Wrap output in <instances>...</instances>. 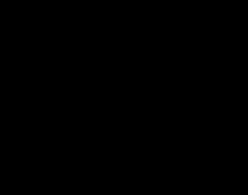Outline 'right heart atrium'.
Listing matches in <instances>:
<instances>
[{
  "label": "right heart atrium",
  "instance_id": "obj_1",
  "mask_svg": "<svg viewBox=\"0 0 248 195\" xmlns=\"http://www.w3.org/2000/svg\"><path fill=\"white\" fill-rule=\"evenodd\" d=\"M99 76L102 85H104L107 89H110L113 93H120L122 91L124 82L114 71L110 69H103Z\"/></svg>",
  "mask_w": 248,
  "mask_h": 195
}]
</instances>
